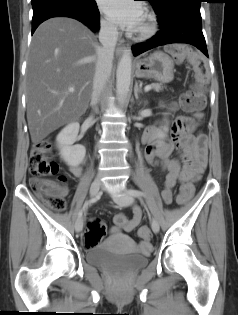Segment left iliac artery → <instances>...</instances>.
Segmentation results:
<instances>
[{
	"instance_id": "obj_1",
	"label": "left iliac artery",
	"mask_w": 238,
	"mask_h": 315,
	"mask_svg": "<svg viewBox=\"0 0 238 315\" xmlns=\"http://www.w3.org/2000/svg\"><path fill=\"white\" fill-rule=\"evenodd\" d=\"M127 193L133 197H136V198L145 196V194L143 192H141L140 190H136V189H129V190H127Z\"/></svg>"
}]
</instances>
